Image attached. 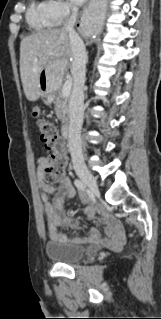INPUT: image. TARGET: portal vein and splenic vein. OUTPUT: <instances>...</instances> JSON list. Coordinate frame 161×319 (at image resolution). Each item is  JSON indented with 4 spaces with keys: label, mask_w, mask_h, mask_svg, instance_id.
I'll list each match as a JSON object with an SVG mask.
<instances>
[{
    "label": "portal vein and splenic vein",
    "mask_w": 161,
    "mask_h": 319,
    "mask_svg": "<svg viewBox=\"0 0 161 319\" xmlns=\"http://www.w3.org/2000/svg\"><path fill=\"white\" fill-rule=\"evenodd\" d=\"M71 88H72V81L71 80H67L65 82V84L63 85L62 95L63 96H68L70 94Z\"/></svg>",
    "instance_id": "1"
}]
</instances>
